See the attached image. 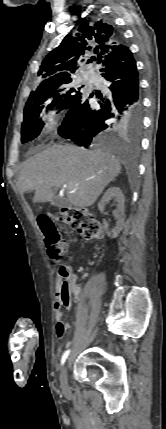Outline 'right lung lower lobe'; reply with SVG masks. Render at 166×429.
I'll return each mask as SVG.
<instances>
[{"mask_svg": "<svg viewBox=\"0 0 166 429\" xmlns=\"http://www.w3.org/2000/svg\"><path fill=\"white\" fill-rule=\"evenodd\" d=\"M98 63L103 66L100 71L108 81L109 89L105 95H97L100 106L91 109L88 98L81 94L68 109L58 129L60 136L84 147L98 143L105 131L129 130L132 135H137L141 130L139 75L132 53L124 46Z\"/></svg>", "mask_w": 166, "mask_h": 429, "instance_id": "obj_1", "label": "right lung lower lobe"}]
</instances>
